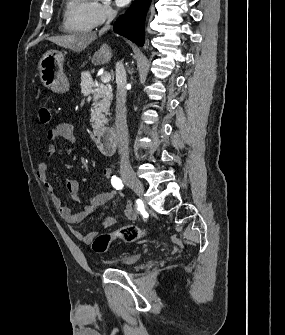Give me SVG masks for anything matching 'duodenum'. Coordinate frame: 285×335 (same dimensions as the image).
I'll use <instances>...</instances> for the list:
<instances>
[{
    "instance_id": "1",
    "label": "duodenum",
    "mask_w": 285,
    "mask_h": 335,
    "mask_svg": "<svg viewBox=\"0 0 285 335\" xmlns=\"http://www.w3.org/2000/svg\"><path fill=\"white\" fill-rule=\"evenodd\" d=\"M94 139L99 150L105 155H113L117 147V137L110 127L101 126L94 130Z\"/></svg>"
}]
</instances>
